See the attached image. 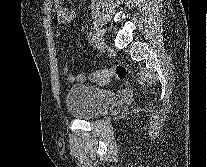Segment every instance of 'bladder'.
<instances>
[{"label":"bladder","instance_id":"31cf9c89","mask_svg":"<svg viewBox=\"0 0 207 167\" xmlns=\"http://www.w3.org/2000/svg\"><path fill=\"white\" fill-rule=\"evenodd\" d=\"M116 100L114 92L87 84H74L67 90L65 104L75 117L88 119L95 117Z\"/></svg>","mask_w":207,"mask_h":167}]
</instances>
